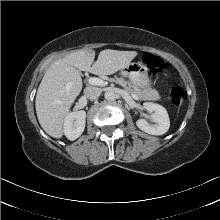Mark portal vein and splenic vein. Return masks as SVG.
I'll list each match as a JSON object with an SVG mask.
<instances>
[{"instance_id": "portal-vein-and-splenic-vein-1", "label": "portal vein and splenic vein", "mask_w": 220, "mask_h": 220, "mask_svg": "<svg viewBox=\"0 0 220 220\" xmlns=\"http://www.w3.org/2000/svg\"><path fill=\"white\" fill-rule=\"evenodd\" d=\"M88 83L91 84V85H97V86H103L104 85V81L99 79V78H96V77H90L88 79ZM67 89L70 88V86H67L66 87ZM131 96L135 99V100H138L139 98L137 97V95L131 93Z\"/></svg>"}]
</instances>
